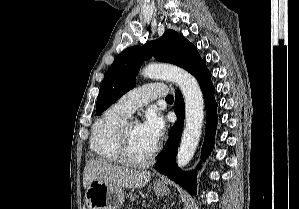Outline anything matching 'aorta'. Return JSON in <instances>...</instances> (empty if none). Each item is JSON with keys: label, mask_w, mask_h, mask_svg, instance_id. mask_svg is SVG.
Returning a JSON list of instances; mask_svg holds the SVG:
<instances>
[{"label": "aorta", "mask_w": 299, "mask_h": 209, "mask_svg": "<svg viewBox=\"0 0 299 209\" xmlns=\"http://www.w3.org/2000/svg\"><path fill=\"white\" fill-rule=\"evenodd\" d=\"M141 74L150 79H164L176 83L185 103V127L177 153V165L184 168L193 158L202 133L204 99L200 86L189 72L173 65L149 64Z\"/></svg>", "instance_id": "obj_1"}]
</instances>
